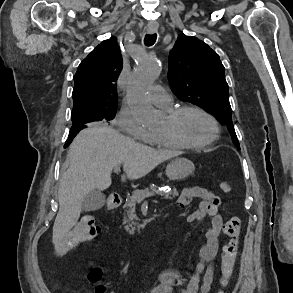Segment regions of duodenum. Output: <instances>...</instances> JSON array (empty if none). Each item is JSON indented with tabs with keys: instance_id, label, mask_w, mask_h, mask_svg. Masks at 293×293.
Listing matches in <instances>:
<instances>
[{
	"instance_id": "obj_1",
	"label": "duodenum",
	"mask_w": 293,
	"mask_h": 293,
	"mask_svg": "<svg viewBox=\"0 0 293 293\" xmlns=\"http://www.w3.org/2000/svg\"><path fill=\"white\" fill-rule=\"evenodd\" d=\"M122 202V198L120 195L118 194H112L110 197H109V200H108V204H107V209L108 210H114L116 209Z\"/></svg>"
}]
</instances>
